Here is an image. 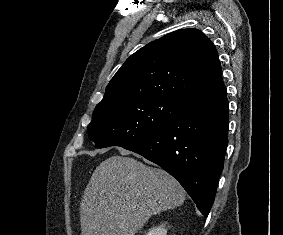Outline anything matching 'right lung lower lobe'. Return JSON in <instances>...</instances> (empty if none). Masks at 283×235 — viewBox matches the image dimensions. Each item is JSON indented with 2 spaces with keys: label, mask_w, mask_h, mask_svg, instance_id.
Here are the masks:
<instances>
[{
  "label": "right lung lower lobe",
  "mask_w": 283,
  "mask_h": 235,
  "mask_svg": "<svg viewBox=\"0 0 283 235\" xmlns=\"http://www.w3.org/2000/svg\"><path fill=\"white\" fill-rule=\"evenodd\" d=\"M228 100L223 85L185 99L160 131L123 148L175 177L208 216L228 144Z\"/></svg>",
  "instance_id": "98d812e1"
}]
</instances>
